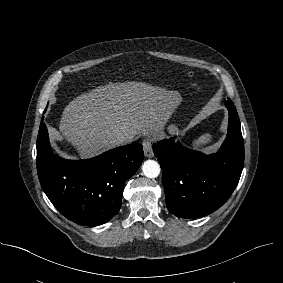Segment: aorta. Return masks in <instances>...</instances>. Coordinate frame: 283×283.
<instances>
[{
    "label": "aorta",
    "mask_w": 283,
    "mask_h": 283,
    "mask_svg": "<svg viewBox=\"0 0 283 283\" xmlns=\"http://www.w3.org/2000/svg\"><path fill=\"white\" fill-rule=\"evenodd\" d=\"M143 174L148 178H156L160 173V166L154 160H147L142 165Z\"/></svg>",
    "instance_id": "1"
}]
</instances>
